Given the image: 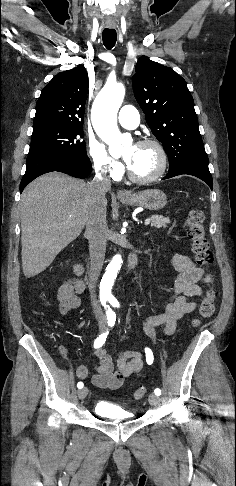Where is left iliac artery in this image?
Masks as SVG:
<instances>
[{
	"label": "left iliac artery",
	"mask_w": 236,
	"mask_h": 486,
	"mask_svg": "<svg viewBox=\"0 0 236 486\" xmlns=\"http://www.w3.org/2000/svg\"><path fill=\"white\" fill-rule=\"evenodd\" d=\"M110 303L112 304V306L114 307H119V303L115 300V299H109ZM145 353H146V361L148 364H152L153 363V353L152 351L149 349V348H145ZM154 393L156 395H161V390L159 388H156L154 390Z\"/></svg>",
	"instance_id": "1"
}]
</instances>
